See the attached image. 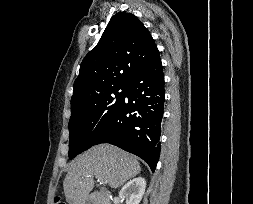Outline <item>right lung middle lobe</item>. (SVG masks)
<instances>
[{
    "label": "right lung middle lobe",
    "instance_id": "right-lung-middle-lobe-1",
    "mask_svg": "<svg viewBox=\"0 0 253 204\" xmlns=\"http://www.w3.org/2000/svg\"><path fill=\"white\" fill-rule=\"evenodd\" d=\"M121 90V92H119ZM115 94V98L111 96ZM125 87L111 89L85 103L71 108L69 120V158L94 145L120 108Z\"/></svg>",
    "mask_w": 253,
    "mask_h": 204
}]
</instances>
